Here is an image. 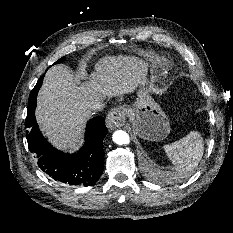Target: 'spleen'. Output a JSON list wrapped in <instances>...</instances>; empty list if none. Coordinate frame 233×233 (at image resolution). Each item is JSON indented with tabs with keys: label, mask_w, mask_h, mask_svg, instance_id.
<instances>
[{
	"label": "spleen",
	"mask_w": 233,
	"mask_h": 233,
	"mask_svg": "<svg viewBox=\"0 0 233 233\" xmlns=\"http://www.w3.org/2000/svg\"><path fill=\"white\" fill-rule=\"evenodd\" d=\"M175 168L171 177L184 176L196 168L203 156L204 144L200 133L191 131L182 139L163 146Z\"/></svg>",
	"instance_id": "3e777b00"
}]
</instances>
